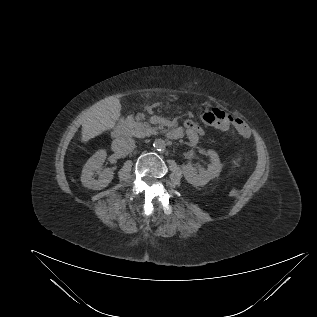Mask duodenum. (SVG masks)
Segmentation results:
<instances>
[{
  "label": "duodenum",
  "mask_w": 317,
  "mask_h": 317,
  "mask_svg": "<svg viewBox=\"0 0 317 317\" xmlns=\"http://www.w3.org/2000/svg\"><path fill=\"white\" fill-rule=\"evenodd\" d=\"M128 131V124L127 121L125 119L121 120L118 122V124L114 127L112 135L114 138H120L123 137L127 134ZM174 130H171L168 132L167 136L170 139H174Z\"/></svg>",
  "instance_id": "duodenum-1"
}]
</instances>
